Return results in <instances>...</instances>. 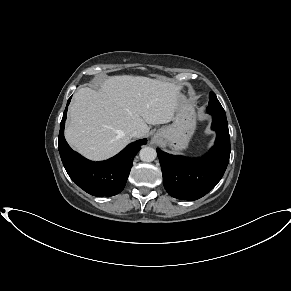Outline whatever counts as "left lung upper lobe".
<instances>
[{"label":"left lung upper lobe","instance_id":"1","mask_svg":"<svg viewBox=\"0 0 291 291\" xmlns=\"http://www.w3.org/2000/svg\"><path fill=\"white\" fill-rule=\"evenodd\" d=\"M209 106H221L214 92H210L209 95Z\"/></svg>","mask_w":291,"mask_h":291}]
</instances>
